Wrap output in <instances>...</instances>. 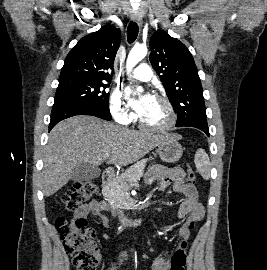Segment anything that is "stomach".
I'll return each mask as SVG.
<instances>
[{
  "mask_svg": "<svg viewBox=\"0 0 267 270\" xmlns=\"http://www.w3.org/2000/svg\"><path fill=\"white\" fill-rule=\"evenodd\" d=\"M156 152L160 159L167 163L177 162L182 154V146L174 137H169L157 146Z\"/></svg>",
  "mask_w": 267,
  "mask_h": 270,
  "instance_id": "0dacf381",
  "label": "stomach"
}]
</instances>
